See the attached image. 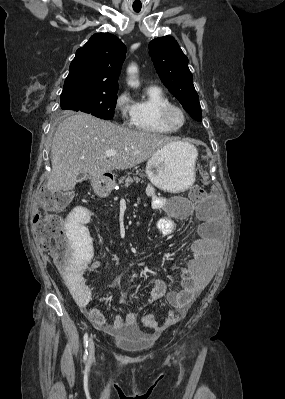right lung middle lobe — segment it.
I'll use <instances>...</instances> for the list:
<instances>
[{"label":"right lung middle lobe","instance_id":"1","mask_svg":"<svg viewBox=\"0 0 285 399\" xmlns=\"http://www.w3.org/2000/svg\"><path fill=\"white\" fill-rule=\"evenodd\" d=\"M117 92H74L61 94L60 105L64 110L82 111L98 118L112 119Z\"/></svg>","mask_w":285,"mask_h":399}]
</instances>
